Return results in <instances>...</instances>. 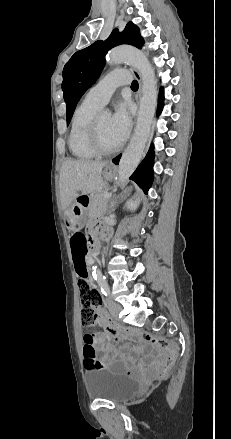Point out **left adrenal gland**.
<instances>
[{
	"label": "left adrenal gland",
	"mask_w": 231,
	"mask_h": 439,
	"mask_svg": "<svg viewBox=\"0 0 231 439\" xmlns=\"http://www.w3.org/2000/svg\"><path fill=\"white\" fill-rule=\"evenodd\" d=\"M123 196H121L122 198ZM118 200H111L110 201V205H109V210L110 211H114L115 210V205L119 202V200L121 199L120 197H117Z\"/></svg>",
	"instance_id": "obj_1"
}]
</instances>
